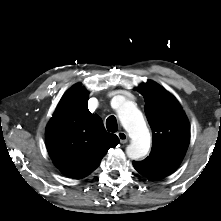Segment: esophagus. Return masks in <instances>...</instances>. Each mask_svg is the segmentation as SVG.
Instances as JSON below:
<instances>
[{
	"label": "esophagus",
	"mask_w": 221,
	"mask_h": 221,
	"mask_svg": "<svg viewBox=\"0 0 221 221\" xmlns=\"http://www.w3.org/2000/svg\"><path fill=\"white\" fill-rule=\"evenodd\" d=\"M120 143L125 144L128 140V136L125 132L120 131L117 133Z\"/></svg>",
	"instance_id": "34e87169"
}]
</instances>
